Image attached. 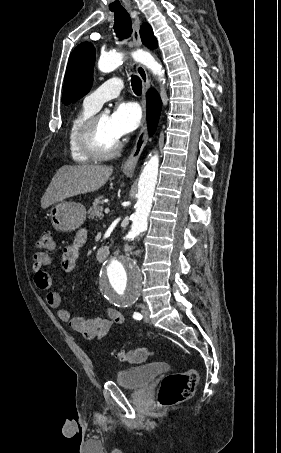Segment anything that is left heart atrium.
I'll return each instance as SVG.
<instances>
[{
    "instance_id": "1",
    "label": "left heart atrium",
    "mask_w": 281,
    "mask_h": 453,
    "mask_svg": "<svg viewBox=\"0 0 281 453\" xmlns=\"http://www.w3.org/2000/svg\"><path fill=\"white\" fill-rule=\"evenodd\" d=\"M109 119L114 135L120 139L139 127L142 120V112L136 103L120 101L115 106Z\"/></svg>"
}]
</instances>
